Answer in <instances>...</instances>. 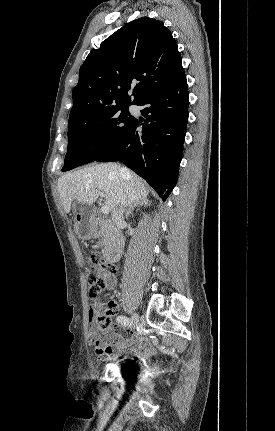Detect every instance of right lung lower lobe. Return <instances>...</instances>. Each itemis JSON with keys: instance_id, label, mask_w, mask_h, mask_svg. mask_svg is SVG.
<instances>
[{"instance_id": "1", "label": "right lung lower lobe", "mask_w": 275, "mask_h": 431, "mask_svg": "<svg viewBox=\"0 0 275 431\" xmlns=\"http://www.w3.org/2000/svg\"><path fill=\"white\" fill-rule=\"evenodd\" d=\"M136 105L146 106L141 111L144 122L134 118L96 161H123L165 200L178 179L188 122L189 93L184 69Z\"/></svg>"}]
</instances>
